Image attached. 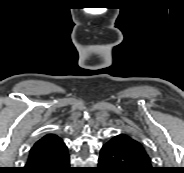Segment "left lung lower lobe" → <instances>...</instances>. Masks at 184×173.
Listing matches in <instances>:
<instances>
[{"label": "left lung lower lobe", "instance_id": "1", "mask_svg": "<svg viewBox=\"0 0 184 173\" xmlns=\"http://www.w3.org/2000/svg\"><path fill=\"white\" fill-rule=\"evenodd\" d=\"M129 136L119 134L106 142L100 151V173H156L144 164L128 146Z\"/></svg>", "mask_w": 184, "mask_h": 173}]
</instances>
